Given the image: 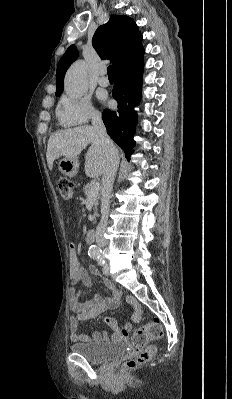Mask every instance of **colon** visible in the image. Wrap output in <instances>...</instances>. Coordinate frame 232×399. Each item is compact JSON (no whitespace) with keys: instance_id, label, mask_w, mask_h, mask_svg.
I'll list each match as a JSON object with an SVG mask.
<instances>
[{"instance_id":"1","label":"colon","mask_w":232,"mask_h":399,"mask_svg":"<svg viewBox=\"0 0 232 399\" xmlns=\"http://www.w3.org/2000/svg\"><path fill=\"white\" fill-rule=\"evenodd\" d=\"M56 185H61V197H73V183L70 178L56 180ZM162 337L157 321H150L149 326H135L133 334H129V353H137V358L133 355L127 356L125 368H140L141 365H149V358H153V351H145V347H152V341H159Z\"/></svg>"}]
</instances>
